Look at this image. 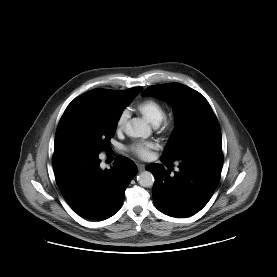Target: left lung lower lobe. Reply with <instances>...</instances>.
Segmentation results:
<instances>
[{
    "mask_svg": "<svg viewBox=\"0 0 277 277\" xmlns=\"http://www.w3.org/2000/svg\"><path fill=\"white\" fill-rule=\"evenodd\" d=\"M179 162L180 171L175 175L158 163L149 164L146 169L155 178L152 196L156 208L173 217H187L200 211L212 197L223 166L222 148H203Z\"/></svg>",
    "mask_w": 277,
    "mask_h": 277,
    "instance_id": "left-lung-lower-lobe-1",
    "label": "left lung lower lobe"
}]
</instances>
